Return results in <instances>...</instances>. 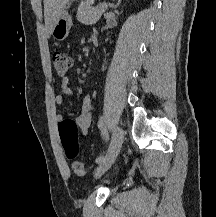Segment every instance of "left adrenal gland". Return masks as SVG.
Segmentation results:
<instances>
[{"label":"left adrenal gland","instance_id":"obj_1","mask_svg":"<svg viewBox=\"0 0 216 217\" xmlns=\"http://www.w3.org/2000/svg\"><path fill=\"white\" fill-rule=\"evenodd\" d=\"M121 1L122 0H118V2L115 5H112L111 7L114 8V9L118 8L119 5L121 4Z\"/></svg>","mask_w":216,"mask_h":217}]
</instances>
